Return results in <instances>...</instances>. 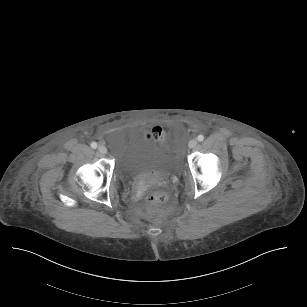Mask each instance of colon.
I'll return each instance as SVG.
<instances>
[{
	"label": "colon",
	"mask_w": 307,
	"mask_h": 307,
	"mask_svg": "<svg viewBox=\"0 0 307 307\" xmlns=\"http://www.w3.org/2000/svg\"><path fill=\"white\" fill-rule=\"evenodd\" d=\"M148 137L163 142L165 146L167 145L165 134L159 126L153 127ZM146 201L150 205L164 206L168 202V195L164 191L150 190L146 194Z\"/></svg>",
	"instance_id": "colon-1"
}]
</instances>
